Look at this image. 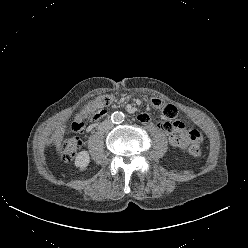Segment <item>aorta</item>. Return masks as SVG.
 I'll return each mask as SVG.
<instances>
[{
	"mask_svg": "<svg viewBox=\"0 0 248 248\" xmlns=\"http://www.w3.org/2000/svg\"><path fill=\"white\" fill-rule=\"evenodd\" d=\"M124 114L122 112H114L112 115H111V120L112 122L114 123H121L124 121Z\"/></svg>",
	"mask_w": 248,
	"mask_h": 248,
	"instance_id": "1",
	"label": "aorta"
}]
</instances>
